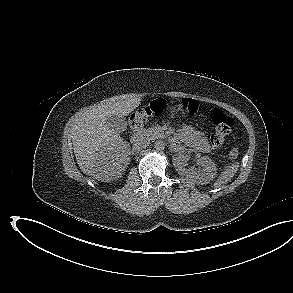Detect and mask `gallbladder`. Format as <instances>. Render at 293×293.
Listing matches in <instances>:
<instances>
[{
	"label": "gallbladder",
	"instance_id": "gallbladder-1",
	"mask_svg": "<svg viewBox=\"0 0 293 293\" xmlns=\"http://www.w3.org/2000/svg\"><path fill=\"white\" fill-rule=\"evenodd\" d=\"M106 124L118 133H122L127 129V121L123 116H109L106 119Z\"/></svg>",
	"mask_w": 293,
	"mask_h": 293
}]
</instances>
